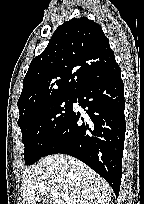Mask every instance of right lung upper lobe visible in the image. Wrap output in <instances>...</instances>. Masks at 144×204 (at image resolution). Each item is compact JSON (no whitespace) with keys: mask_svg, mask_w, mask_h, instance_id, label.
Instances as JSON below:
<instances>
[{"mask_svg":"<svg viewBox=\"0 0 144 204\" xmlns=\"http://www.w3.org/2000/svg\"><path fill=\"white\" fill-rule=\"evenodd\" d=\"M115 61L101 27L87 17L59 26L23 80L20 115L58 96L76 95Z\"/></svg>","mask_w":144,"mask_h":204,"instance_id":"1","label":"right lung upper lobe"}]
</instances>
